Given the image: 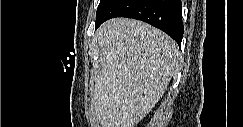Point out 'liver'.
Listing matches in <instances>:
<instances>
[{
    "mask_svg": "<svg viewBox=\"0 0 243 127\" xmlns=\"http://www.w3.org/2000/svg\"><path fill=\"white\" fill-rule=\"evenodd\" d=\"M101 69L92 94L99 127H135L161 99L177 67L179 49L144 22L115 18L97 32Z\"/></svg>",
    "mask_w": 243,
    "mask_h": 127,
    "instance_id": "liver-1",
    "label": "liver"
}]
</instances>
